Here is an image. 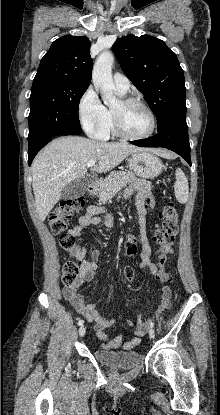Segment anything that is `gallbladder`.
I'll use <instances>...</instances> for the list:
<instances>
[{"instance_id": "bac80fb5", "label": "gallbladder", "mask_w": 220, "mask_h": 415, "mask_svg": "<svg viewBox=\"0 0 220 415\" xmlns=\"http://www.w3.org/2000/svg\"><path fill=\"white\" fill-rule=\"evenodd\" d=\"M88 187L87 179H77L69 183L64 187L61 192V198L64 200L72 199L75 200L83 196Z\"/></svg>"}]
</instances>
